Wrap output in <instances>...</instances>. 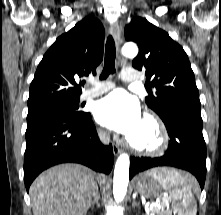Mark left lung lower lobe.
<instances>
[{
    "label": "left lung lower lobe",
    "instance_id": "left-lung-lower-lobe-1",
    "mask_svg": "<svg viewBox=\"0 0 221 215\" xmlns=\"http://www.w3.org/2000/svg\"><path fill=\"white\" fill-rule=\"evenodd\" d=\"M170 136L169 147L157 158L133 157L130 179L138 172L157 166H172L191 172L204 187L206 177V144L202 134L200 110L185 105L166 107L161 116Z\"/></svg>",
    "mask_w": 221,
    "mask_h": 215
}]
</instances>
